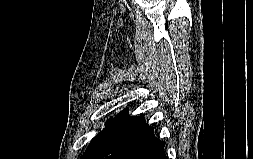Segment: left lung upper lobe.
Masks as SVG:
<instances>
[{"label": "left lung upper lobe", "mask_w": 253, "mask_h": 159, "mask_svg": "<svg viewBox=\"0 0 253 159\" xmlns=\"http://www.w3.org/2000/svg\"><path fill=\"white\" fill-rule=\"evenodd\" d=\"M109 121H110V120H109ZM109 121H107V123H108ZM100 133H101V132H100ZM100 133H99V134H100ZM99 134H98L96 137H94V138L92 139L91 143H90L89 146H88V149H89V147L92 145V143L96 140V138L99 136ZM88 149H87V150H88ZM87 150H86V152H87ZM86 152H85V153H86ZM85 153H84V155H85ZM84 155H83V156H84ZM82 158H83V157H82Z\"/></svg>", "instance_id": "5c2ea615"}]
</instances>
